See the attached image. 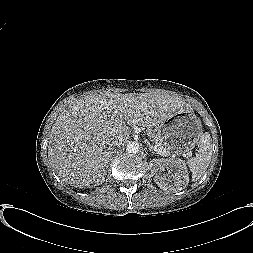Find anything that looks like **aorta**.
Here are the masks:
<instances>
[{
    "label": "aorta",
    "mask_w": 253,
    "mask_h": 253,
    "mask_svg": "<svg viewBox=\"0 0 253 253\" xmlns=\"http://www.w3.org/2000/svg\"><path fill=\"white\" fill-rule=\"evenodd\" d=\"M139 150H140L139 143H137V142L134 141V142H129L127 144L126 151L128 153L136 154V153L139 152Z\"/></svg>",
    "instance_id": "aorta-1"
}]
</instances>
